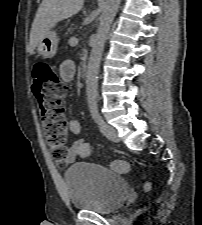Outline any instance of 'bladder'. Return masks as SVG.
Returning <instances> with one entry per match:
<instances>
[{"instance_id":"obj_1","label":"bladder","mask_w":202,"mask_h":225,"mask_svg":"<svg viewBox=\"0 0 202 225\" xmlns=\"http://www.w3.org/2000/svg\"><path fill=\"white\" fill-rule=\"evenodd\" d=\"M67 196L75 210L111 214L125 201L130 185L108 167L75 164L64 173Z\"/></svg>"}]
</instances>
